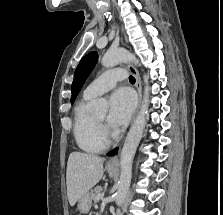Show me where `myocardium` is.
Here are the masks:
<instances>
[{"mask_svg":"<svg viewBox=\"0 0 223 215\" xmlns=\"http://www.w3.org/2000/svg\"><path fill=\"white\" fill-rule=\"evenodd\" d=\"M95 125H96L99 140L102 143H104L106 146H111L118 142L119 140L118 135L112 132L111 138H109L106 125L100 122L96 117H95Z\"/></svg>","mask_w":223,"mask_h":215,"instance_id":"1","label":"myocardium"}]
</instances>
